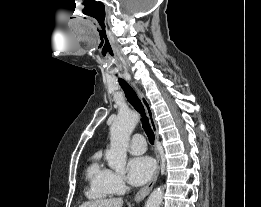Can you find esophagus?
<instances>
[{
  "mask_svg": "<svg viewBox=\"0 0 261 207\" xmlns=\"http://www.w3.org/2000/svg\"><path fill=\"white\" fill-rule=\"evenodd\" d=\"M131 84L133 85V87L135 88V90L138 93V96H139V98H140V100H141V102H142V104L145 108L147 117L149 119L151 129L153 130V132L155 134V139H156V141H158L159 136H158L157 124L155 122L154 113H153V110L151 108V105H150L148 99L146 98L145 94L143 93V91H141V89L138 88L136 83L131 81ZM160 167H161V159H160V156L157 154V169H156V172L153 175L152 179L143 188H141L137 192V194L135 196L136 202L142 201L150 193V191L152 190V188H153V186H154V184H155V182H156V180L159 176Z\"/></svg>",
  "mask_w": 261,
  "mask_h": 207,
  "instance_id": "esophagus-1",
  "label": "esophagus"
}]
</instances>
